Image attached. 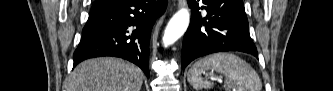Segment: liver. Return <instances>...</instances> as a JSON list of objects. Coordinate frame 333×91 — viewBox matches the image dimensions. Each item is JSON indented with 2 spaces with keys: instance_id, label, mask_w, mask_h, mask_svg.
<instances>
[{
  "instance_id": "liver-1",
  "label": "liver",
  "mask_w": 333,
  "mask_h": 91,
  "mask_svg": "<svg viewBox=\"0 0 333 91\" xmlns=\"http://www.w3.org/2000/svg\"><path fill=\"white\" fill-rule=\"evenodd\" d=\"M143 72L118 58H96L80 63L71 74L67 91H140Z\"/></svg>"
}]
</instances>
